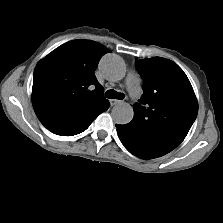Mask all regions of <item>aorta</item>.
Here are the masks:
<instances>
[{
	"label": "aorta",
	"instance_id": "aorta-1",
	"mask_svg": "<svg viewBox=\"0 0 223 223\" xmlns=\"http://www.w3.org/2000/svg\"><path fill=\"white\" fill-rule=\"evenodd\" d=\"M99 66L103 75L108 80L118 81L125 76L126 67L124 61L114 54L104 56ZM111 116L116 124L125 125L133 119L134 111L130 104L120 102L113 107Z\"/></svg>",
	"mask_w": 223,
	"mask_h": 223
}]
</instances>
